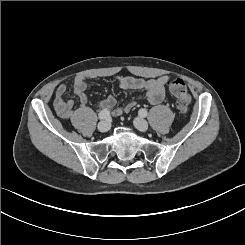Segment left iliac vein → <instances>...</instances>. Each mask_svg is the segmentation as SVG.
Segmentation results:
<instances>
[{"instance_id":"4c4485c4","label":"left iliac vein","mask_w":245,"mask_h":245,"mask_svg":"<svg viewBox=\"0 0 245 245\" xmlns=\"http://www.w3.org/2000/svg\"><path fill=\"white\" fill-rule=\"evenodd\" d=\"M135 127L141 132H146L148 130V123L141 117H137L134 119Z\"/></svg>"}]
</instances>
